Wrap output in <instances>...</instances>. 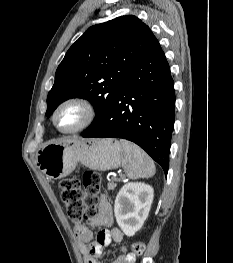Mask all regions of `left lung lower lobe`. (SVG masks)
I'll return each instance as SVG.
<instances>
[{
  "label": "left lung lower lobe",
  "instance_id": "1",
  "mask_svg": "<svg viewBox=\"0 0 233 263\" xmlns=\"http://www.w3.org/2000/svg\"><path fill=\"white\" fill-rule=\"evenodd\" d=\"M174 109V82L165 54L155 39L126 76L106 114L82 136L130 140L167 174Z\"/></svg>",
  "mask_w": 233,
  "mask_h": 263
}]
</instances>
